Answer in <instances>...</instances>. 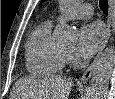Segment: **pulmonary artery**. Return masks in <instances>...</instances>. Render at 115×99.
I'll use <instances>...</instances> for the list:
<instances>
[{
    "instance_id": "1",
    "label": "pulmonary artery",
    "mask_w": 115,
    "mask_h": 99,
    "mask_svg": "<svg viewBox=\"0 0 115 99\" xmlns=\"http://www.w3.org/2000/svg\"><path fill=\"white\" fill-rule=\"evenodd\" d=\"M93 14V7L88 3L76 2L59 19L88 18Z\"/></svg>"
}]
</instances>
